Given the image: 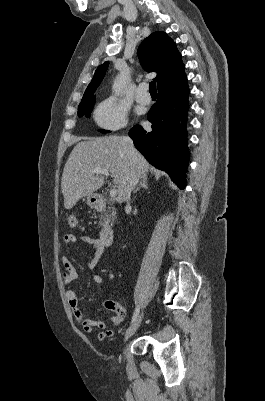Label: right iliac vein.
Returning <instances> with one entry per match:
<instances>
[{
    "instance_id": "obj_1",
    "label": "right iliac vein",
    "mask_w": 265,
    "mask_h": 401,
    "mask_svg": "<svg viewBox=\"0 0 265 401\" xmlns=\"http://www.w3.org/2000/svg\"><path fill=\"white\" fill-rule=\"evenodd\" d=\"M144 317V312H142L137 318L136 320L133 322V324L127 329L125 335H124V342H126L130 337L133 336V334L137 331V329L139 328L142 319Z\"/></svg>"
}]
</instances>
